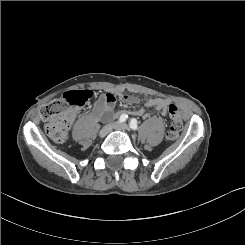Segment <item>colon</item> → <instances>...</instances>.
<instances>
[{
  "instance_id": "obj_1",
  "label": "colon",
  "mask_w": 245,
  "mask_h": 245,
  "mask_svg": "<svg viewBox=\"0 0 245 245\" xmlns=\"http://www.w3.org/2000/svg\"><path fill=\"white\" fill-rule=\"evenodd\" d=\"M92 95L90 90H73L44 105L41 110V118L45 121L46 134L57 143L65 142L76 108L87 104ZM167 112L171 124L166 139L174 141L182 130L183 122L176 105L169 104Z\"/></svg>"
}]
</instances>
